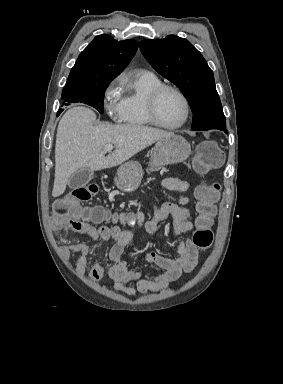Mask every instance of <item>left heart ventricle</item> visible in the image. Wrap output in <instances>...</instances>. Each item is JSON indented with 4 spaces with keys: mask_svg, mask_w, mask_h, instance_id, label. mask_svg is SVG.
<instances>
[{
    "mask_svg": "<svg viewBox=\"0 0 283 384\" xmlns=\"http://www.w3.org/2000/svg\"><path fill=\"white\" fill-rule=\"evenodd\" d=\"M184 115V104L180 97L172 91H165L156 104V116L160 123L173 126L180 123Z\"/></svg>",
    "mask_w": 283,
    "mask_h": 384,
    "instance_id": "b2bd125f",
    "label": "left heart ventricle"
}]
</instances>
